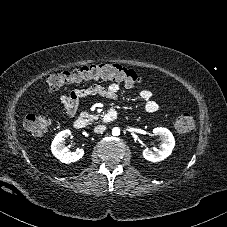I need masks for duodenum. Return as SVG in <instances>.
I'll return each instance as SVG.
<instances>
[{
  "mask_svg": "<svg viewBox=\"0 0 227 227\" xmlns=\"http://www.w3.org/2000/svg\"><path fill=\"white\" fill-rule=\"evenodd\" d=\"M116 117H117V113L114 110H110L103 115L102 121L104 123H110L114 121ZM86 125H87L86 120L83 118H79L74 122V127L79 130L84 129Z\"/></svg>",
  "mask_w": 227,
  "mask_h": 227,
  "instance_id": "duodenum-1",
  "label": "duodenum"
}]
</instances>
